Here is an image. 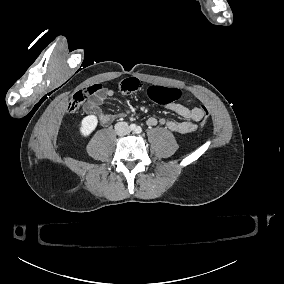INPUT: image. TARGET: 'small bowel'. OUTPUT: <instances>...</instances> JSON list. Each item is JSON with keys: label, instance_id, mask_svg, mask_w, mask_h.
I'll list each match as a JSON object with an SVG mask.
<instances>
[{"label": "small bowel", "instance_id": "1", "mask_svg": "<svg viewBox=\"0 0 284 284\" xmlns=\"http://www.w3.org/2000/svg\"><path fill=\"white\" fill-rule=\"evenodd\" d=\"M103 90V89H102ZM101 90V91H102ZM106 96H112L113 91L110 89L104 90ZM103 103L102 95H97L90 101V106L88 109H94ZM168 109L179 115L184 119V121H165L164 119H157L155 117H150L147 120V125L149 127H154L157 124L166 125V127L172 132L178 134H190L197 129L198 122L203 118L205 114L204 106H197L193 108L185 107L181 104L173 103L168 106ZM100 121L106 124L110 121L111 115L105 112L99 114Z\"/></svg>", "mask_w": 284, "mask_h": 284}]
</instances>
